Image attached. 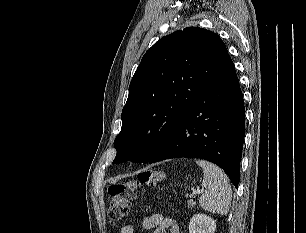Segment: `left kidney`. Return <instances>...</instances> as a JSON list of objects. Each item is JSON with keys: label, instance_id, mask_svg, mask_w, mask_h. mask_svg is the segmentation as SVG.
<instances>
[{"label": "left kidney", "instance_id": "5707ae66", "mask_svg": "<svg viewBox=\"0 0 306 233\" xmlns=\"http://www.w3.org/2000/svg\"><path fill=\"white\" fill-rule=\"evenodd\" d=\"M216 221L205 214H195L189 223V233H214Z\"/></svg>", "mask_w": 306, "mask_h": 233}]
</instances>
